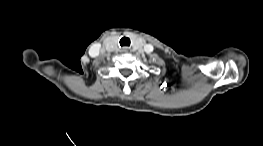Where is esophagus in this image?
I'll use <instances>...</instances> for the list:
<instances>
[{"label": "esophagus", "instance_id": "1", "mask_svg": "<svg viewBox=\"0 0 263 146\" xmlns=\"http://www.w3.org/2000/svg\"><path fill=\"white\" fill-rule=\"evenodd\" d=\"M122 51H123V52H128V51H129V48H128V47H123V48H122Z\"/></svg>", "mask_w": 263, "mask_h": 146}]
</instances>
